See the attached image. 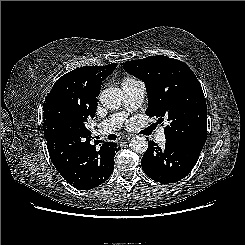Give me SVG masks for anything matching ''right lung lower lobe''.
<instances>
[{
	"label": "right lung lower lobe",
	"mask_w": 245,
	"mask_h": 245,
	"mask_svg": "<svg viewBox=\"0 0 245 245\" xmlns=\"http://www.w3.org/2000/svg\"><path fill=\"white\" fill-rule=\"evenodd\" d=\"M96 149L89 141L69 144L66 138L47 141L53 165L73 187L89 190L101 185L112 174L114 156L120 149L116 143L105 142Z\"/></svg>",
	"instance_id": "1"
}]
</instances>
